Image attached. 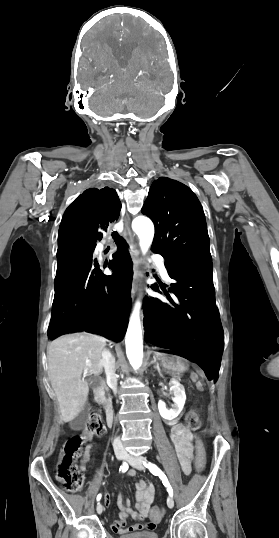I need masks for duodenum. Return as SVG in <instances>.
I'll list each match as a JSON object with an SVG mask.
<instances>
[{
	"instance_id": "1",
	"label": "duodenum",
	"mask_w": 279,
	"mask_h": 538,
	"mask_svg": "<svg viewBox=\"0 0 279 538\" xmlns=\"http://www.w3.org/2000/svg\"><path fill=\"white\" fill-rule=\"evenodd\" d=\"M107 386V383L105 381H101L99 382V387H98V390H92V395H95V398L97 400H100L102 398V395H101V392H103L105 390V387ZM105 409L107 410V414H106V424H105V427L107 429H111L113 427V413H114V410H113V406H112V402L110 400H107L105 402Z\"/></svg>"
}]
</instances>
